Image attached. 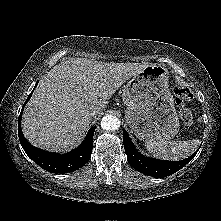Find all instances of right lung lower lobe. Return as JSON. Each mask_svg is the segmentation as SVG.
<instances>
[{
  "mask_svg": "<svg viewBox=\"0 0 221 221\" xmlns=\"http://www.w3.org/2000/svg\"><path fill=\"white\" fill-rule=\"evenodd\" d=\"M36 83L35 87L37 86ZM34 87V89H35ZM33 92V91H32ZM32 92L28 96L26 102L30 99ZM25 102V103H26ZM25 104L22 107L19 119H18V136L20 143L26 152V154L41 168L52 173H67L72 172L78 168L84 166L91 158L92 154V141L95 126L92 127L86 136L83 143L66 154H56L41 150L32 146L25 138L21 130V117Z\"/></svg>",
  "mask_w": 221,
  "mask_h": 221,
  "instance_id": "obj_1",
  "label": "right lung lower lobe"
}]
</instances>
